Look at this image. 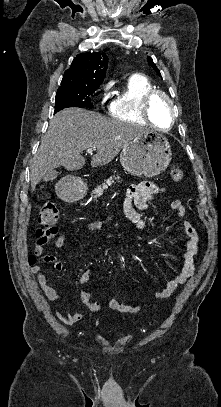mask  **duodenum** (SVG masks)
Masks as SVG:
<instances>
[{"instance_id":"duodenum-1","label":"duodenum","mask_w":221,"mask_h":407,"mask_svg":"<svg viewBox=\"0 0 221 407\" xmlns=\"http://www.w3.org/2000/svg\"><path fill=\"white\" fill-rule=\"evenodd\" d=\"M65 193H66V190L63 191V196H64Z\"/></svg>"}]
</instances>
